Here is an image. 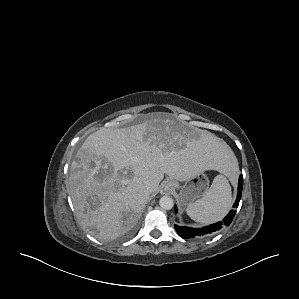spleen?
I'll use <instances>...</instances> for the list:
<instances>
[{
    "instance_id": "obj_1",
    "label": "spleen",
    "mask_w": 299,
    "mask_h": 299,
    "mask_svg": "<svg viewBox=\"0 0 299 299\" xmlns=\"http://www.w3.org/2000/svg\"><path fill=\"white\" fill-rule=\"evenodd\" d=\"M232 204L231 187L224 175H217L203 197L188 205V216L199 223L210 224L221 220Z\"/></svg>"
}]
</instances>
